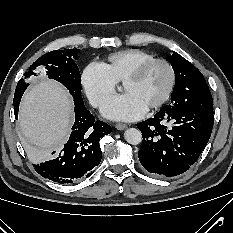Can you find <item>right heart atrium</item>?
<instances>
[{"mask_svg":"<svg viewBox=\"0 0 233 233\" xmlns=\"http://www.w3.org/2000/svg\"><path fill=\"white\" fill-rule=\"evenodd\" d=\"M81 84L90 103L100 107L116 91L117 81L102 63L88 64L81 75Z\"/></svg>","mask_w":233,"mask_h":233,"instance_id":"1","label":"right heart atrium"}]
</instances>
